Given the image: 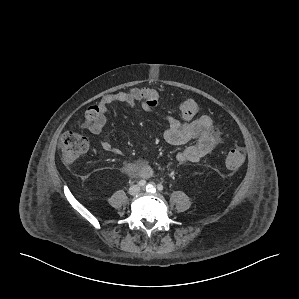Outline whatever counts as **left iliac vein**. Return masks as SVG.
Masks as SVG:
<instances>
[{"label": "left iliac vein", "mask_w": 299, "mask_h": 299, "mask_svg": "<svg viewBox=\"0 0 299 299\" xmlns=\"http://www.w3.org/2000/svg\"><path fill=\"white\" fill-rule=\"evenodd\" d=\"M152 185V190H154L155 189V185L154 184H151ZM143 189H145V188H143Z\"/></svg>", "instance_id": "obj_1"}]
</instances>
